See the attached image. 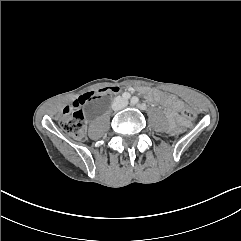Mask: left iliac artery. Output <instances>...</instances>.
I'll return each mask as SVG.
<instances>
[{
	"label": "left iliac artery",
	"instance_id": "44dca946",
	"mask_svg": "<svg viewBox=\"0 0 241 241\" xmlns=\"http://www.w3.org/2000/svg\"><path fill=\"white\" fill-rule=\"evenodd\" d=\"M138 101H139V99L134 96V97H132V99H131V104L135 105V104L138 103Z\"/></svg>",
	"mask_w": 241,
	"mask_h": 241
}]
</instances>
